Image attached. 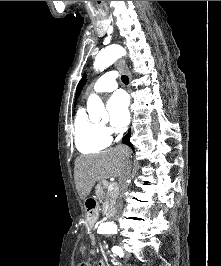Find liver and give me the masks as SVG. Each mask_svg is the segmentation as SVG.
Segmentation results:
<instances>
[{"instance_id":"obj_1","label":"liver","mask_w":221,"mask_h":266,"mask_svg":"<svg viewBox=\"0 0 221 266\" xmlns=\"http://www.w3.org/2000/svg\"><path fill=\"white\" fill-rule=\"evenodd\" d=\"M130 149L118 146L98 154L81 155L75 160L74 181L80 199H85L95 183L110 177H122Z\"/></svg>"}]
</instances>
